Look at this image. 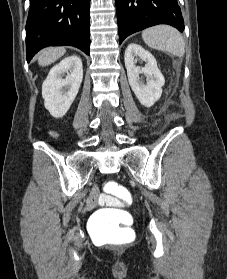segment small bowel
I'll list each match as a JSON object with an SVG mask.
<instances>
[{
  "label": "small bowel",
  "instance_id": "1",
  "mask_svg": "<svg viewBox=\"0 0 227 279\" xmlns=\"http://www.w3.org/2000/svg\"><path fill=\"white\" fill-rule=\"evenodd\" d=\"M104 204L118 207H126V204L124 202H121L112 196H105L101 194L100 190L97 187H94L86 200V210H91L96 205Z\"/></svg>",
  "mask_w": 227,
  "mask_h": 279
}]
</instances>
